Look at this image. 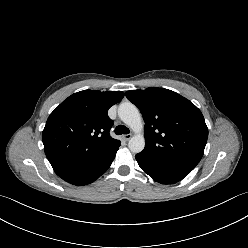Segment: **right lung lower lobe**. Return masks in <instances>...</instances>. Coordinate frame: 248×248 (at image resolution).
Segmentation results:
<instances>
[{
    "instance_id": "98d812e1",
    "label": "right lung lower lobe",
    "mask_w": 248,
    "mask_h": 248,
    "mask_svg": "<svg viewBox=\"0 0 248 248\" xmlns=\"http://www.w3.org/2000/svg\"><path fill=\"white\" fill-rule=\"evenodd\" d=\"M120 145L88 160L50 161L55 173L73 185H86L98 179L111 165Z\"/></svg>"
}]
</instances>
